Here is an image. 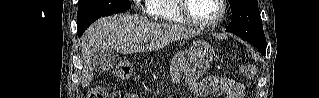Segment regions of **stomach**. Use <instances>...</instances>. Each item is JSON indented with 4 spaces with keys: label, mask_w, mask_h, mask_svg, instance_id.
I'll return each instance as SVG.
<instances>
[{
    "label": "stomach",
    "mask_w": 319,
    "mask_h": 98,
    "mask_svg": "<svg viewBox=\"0 0 319 98\" xmlns=\"http://www.w3.org/2000/svg\"><path fill=\"white\" fill-rule=\"evenodd\" d=\"M214 50L205 41L196 40L183 53V71L185 82L192 91L198 90L200 83L198 81L209 67L213 58Z\"/></svg>",
    "instance_id": "0dacf381"
}]
</instances>
